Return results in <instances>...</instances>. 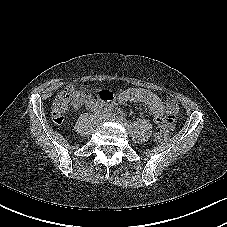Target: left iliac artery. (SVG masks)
I'll use <instances>...</instances> for the list:
<instances>
[{"instance_id": "44dca946", "label": "left iliac artery", "mask_w": 227, "mask_h": 227, "mask_svg": "<svg viewBox=\"0 0 227 227\" xmlns=\"http://www.w3.org/2000/svg\"><path fill=\"white\" fill-rule=\"evenodd\" d=\"M121 120L125 122V119H124V118H121ZM125 124H126V126H127L130 130H132V133H137V128H134V127H133V124L127 123V122H126Z\"/></svg>"}]
</instances>
